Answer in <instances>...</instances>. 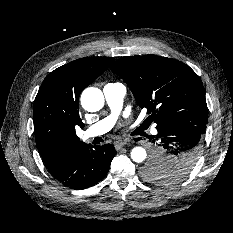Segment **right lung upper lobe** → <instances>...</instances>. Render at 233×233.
Here are the masks:
<instances>
[{
	"mask_svg": "<svg viewBox=\"0 0 233 233\" xmlns=\"http://www.w3.org/2000/svg\"><path fill=\"white\" fill-rule=\"evenodd\" d=\"M113 61L107 57L77 59L44 79L34 101L33 116L36 145L45 164L84 144L75 133L76 126L84 127L79 115V95Z\"/></svg>",
	"mask_w": 233,
	"mask_h": 233,
	"instance_id": "1",
	"label": "right lung upper lobe"
}]
</instances>
